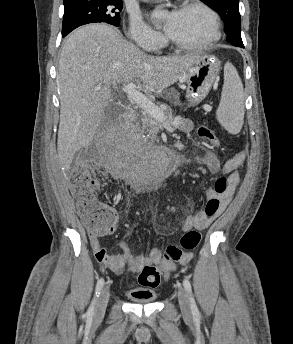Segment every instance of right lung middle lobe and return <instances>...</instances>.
I'll list each match as a JSON object with an SVG mask.
<instances>
[{"label": "right lung middle lobe", "mask_w": 293, "mask_h": 344, "mask_svg": "<svg viewBox=\"0 0 293 344\" xmlns=\"http://www.w3.org/2000/svg\"><path fill=\"white\" fill-rule=\"evenodd\" d=\"M62 37L75 28L96 22L120 25L121 0H78L64 4Z\"/></svg>", "instance_id": "obj_1"}]
</instances>
